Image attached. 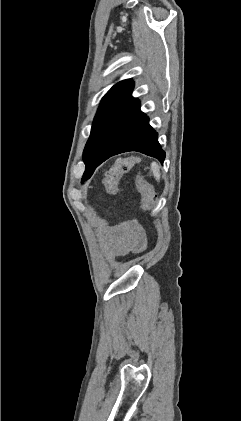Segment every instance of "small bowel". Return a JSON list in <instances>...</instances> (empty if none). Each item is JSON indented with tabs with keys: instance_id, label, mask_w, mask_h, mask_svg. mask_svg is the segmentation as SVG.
<instances>
[{
	"instance_id": "c3829d8e",
	"label": "small bowel",
	"mask_w": 241,
	"mask_h": 421,
	"mask_svg": "<svg viewBox=\"0 0 241 421\" xmlns=\"http://www.w3.org/2000/svg\"><path fill=\"white\" fill-rule=\"evenodd\" d=\"M103 241L109 256L115 257L143 251L147 235L136 221H127L105 228Z\"/></svg>"
}]
</instances>
